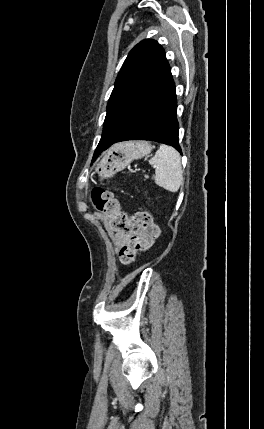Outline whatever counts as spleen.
<instances>
[{
  "mask_svg": "<svg viewBox=\"0 0 264 429\" xmlns=\"http://www.w3.org/2000/svg\"><path fill=\"white\" fill-rule=\"evenodd\" d=\"M155 166V183L170 192H177L183 183L181 157L171 146L162 144L149 160Z\"/></svg>",
  "mask_w": 264,
  "mask_h": 429,
  "instance_id": "spleen-1",
  "label": "spleen"
}]
</instances>
